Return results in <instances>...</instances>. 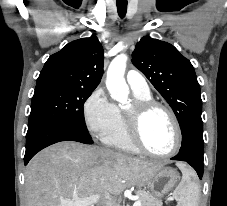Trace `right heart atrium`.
<instances>
[{
  "label": "right heart atrium",
  "instance_id": "d8ad5b80",
  "mask_svg": "<svg viewBox=\"0 0 227 206\" xmlns=\"http://www.w3.org/2000/svg\"><path fill=\"white\" fill-rule=\"evenodd\" d=\"M83 115L88 131L99 138H103L116 121L115 105L100 88L95 89L86 99Z\"/></svg>",
  "mask_w": 227,
  "mask_h": 206
}]
</instances>
